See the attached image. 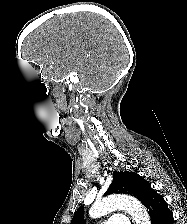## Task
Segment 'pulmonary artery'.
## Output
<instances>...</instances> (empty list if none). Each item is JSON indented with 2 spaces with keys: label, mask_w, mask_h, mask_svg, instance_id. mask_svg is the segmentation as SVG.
<instances>
[{
  "label": "pulmonary artery",
  "mask_w": 187,
  "mask_h": 224,
  "mask_svg": "<svg viewBox=\"0 0 187 224\" xmlns=\"http://www.w3.org/2000/svg\"><path fill=\"white\" fill-rule=\"evenodd\" d=\"M100 224H129V223L123 218H117L116 216H113L107 221H104Z\"/></svg>",
  "instance_id": "e3ab8cb5"
}]
</instances>
